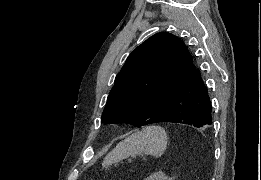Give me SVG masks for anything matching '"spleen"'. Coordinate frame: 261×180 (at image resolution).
<instances>
[{
  "label": "spleen",
  "instance_id": "3e777b00",
  "mask_svg": "<svg viewBox=\"0 0 261 180\" xmlns=\"http://www.w3.org/2000/svg\"><path fill=\"white\" fill-rule=\"evenodd\" d=\"M167 148V134L161 126H147L141 132L131 134L106 156L108 164L126 160L129 156H154L160 158Z\"/></svg>",
  "mask_w": 261,
  "mask_h": 180
}]
</instances>
